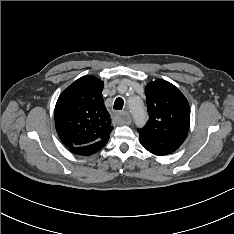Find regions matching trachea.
<instances>
[{
  "label": "trachea",
  "mask_w": 234,
  "mask_h": 234,
  "mask_svg": "<svg viewBox=\"0 0 234 234\" xmlns=\"http://www.w3.org/2000/svg\"><path fill=\"white\" fill-rule=\"evenodd\" d=\"M123 105H124L123 99H122V98H117V99L115 100V102H114L113 108H114L115 110H122Z\"/></svg>",
  "instance_id": "obj_1"
}]
</instances>
